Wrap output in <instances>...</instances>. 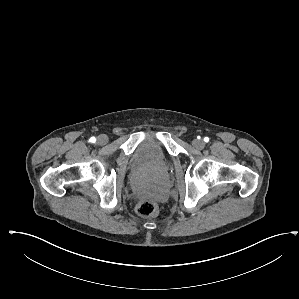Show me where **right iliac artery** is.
Instances as JSON below:
<instances>
[{
  "label": "right iliac artery",
  "mask_w": 299,
  "mask_h": 299,
  "mask_svg": "<svg viewBox=\"0 0 299 299\" xmlns=\"http://www.w3.org/2000/svg\"><path fill=\"white\" fill-rule=\"evenodd\" d=\"M90 142L95 143L96 142V138L95 137H91L90 138Z\"/></svg>",
  "instance_id": "82829eb1"
}]
</instances>
